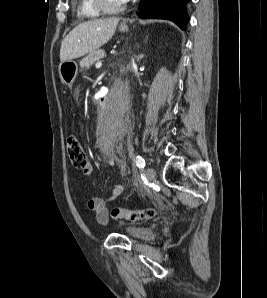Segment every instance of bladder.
<instances>
[{
  "label": "bladder",
  "instance_id": "31cf9c89",
  "mask_svg": "<svg viewBox=\"0 0 267 298\" xmlns=\"http://www.w3.org/2000/svg\"><path fill=\"white\" fill-rule=\"evenodd\" d=\"M126 232L131 238L140 241H152L156 237L152 227H129Z\"/></svg>",
  "mask_w": 267,
  "mask_h": 298
}]
</instances>
